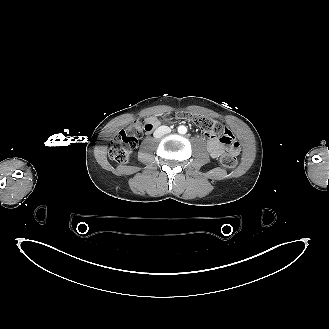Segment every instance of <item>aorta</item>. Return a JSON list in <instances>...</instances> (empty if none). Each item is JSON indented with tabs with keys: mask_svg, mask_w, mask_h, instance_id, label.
Returning <instances> with one entry per match:
<instances>
[{
	"mask_svg": "<svg viewBox=\"0 0 329 329\" xmlns=\"http://www.w3.org/2000/svg\"><path fill=\"white\" fill-rule=\"evenodd\" d=\"M178 132L180 133V134H186V132H187V128L185 127V126H179L178 127Z\"/></svg>",
	"mask_w": 329,
	"mask_h": 329,
	"instance_id": "762f6f07",
	"label": "aorta"
}]
</instances>
